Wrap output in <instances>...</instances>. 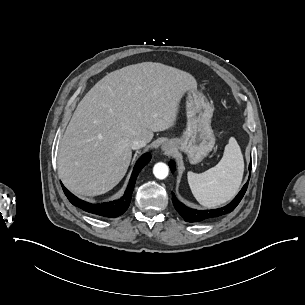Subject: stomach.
Masks as SVG:
<instances>
[{
    "instance_id": "obj_1",
    "label": "stomach",
    "mask_w": 305,
    "mask_h": 305,
    "mask_svg": "<svg viewBox=\"0 0 305 305\" xmlns=\"http://www.w3.org/2000/svg\"><path fill=\"white\" fill-rule=\"evenodd\" d=\"M187 126L181 138L170 141V149L187 154L191 164H197L213 149L215 136L211 128L214 108L197 89L188 90L186 98Z\"/></svg>"
}]
</instances>
